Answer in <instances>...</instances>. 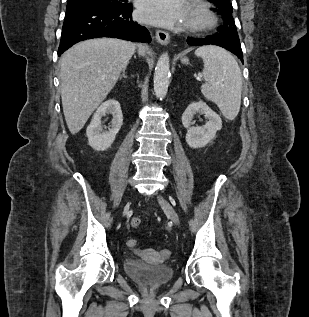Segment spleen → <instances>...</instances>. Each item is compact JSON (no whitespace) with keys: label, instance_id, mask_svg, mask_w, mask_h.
<instances>
[{"label":"spleen","instance_id":"spleen-1","mask_svg":"<svg viewBox=\"0 0 309 317\" xmlns=\"http://www.w3.org/2000/svg\"><path fill=\"white\" fill-rule=\"evenodd\" d=\"M195 55L204 63L205 83L201 92L206 99L214 102L228 120H234L240 110L242 75L235 58L217 46H202Z\"/></svg>","mask_w":309,"mask_h":317}]
</instances>
